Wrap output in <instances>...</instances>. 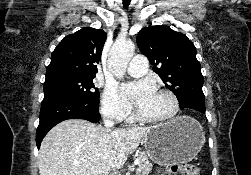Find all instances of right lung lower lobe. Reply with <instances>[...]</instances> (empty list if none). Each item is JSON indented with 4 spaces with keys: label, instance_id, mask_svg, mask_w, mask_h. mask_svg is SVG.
Returning <instances> with one entry per match:
<instances>
[{
    "label": "right lung lower lobe",
    "instance_id": "right-lung-lower-lobe-1",
    "mask_svg": "<svg viewBox=\"0 0 251 175\" xmlns=\"http://www.w3.org/2000/svg\"><path fill=\"white\" fill-rule=\"evenodd\" d=\"M98 106L99 97L84 99L64 92L45 93L36 132L38 149L47 132L61 121L85 119L94 123L98 122L101 118Z\"/></svg>",
    "mask_w": 251,
    "mask_h": 175
}]
</instances>
